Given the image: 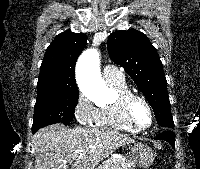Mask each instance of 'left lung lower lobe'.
Here are the masks:
<instances>
[{"label":"left lung lower lobe","instance_id":"1","mask_svg":"<svg viewBox=\"0 0 200 169\" xmlns=\"http://www.w3.org/2000/svg\"><path fill=\"white\" fill-rule=\"evenodd\" d=\"M171 128H168L166 132L158 136L156 139H161L168 141L173 147L175 146V137L174 133L170 131Z\"/></svg>","mask_w":200,"mask_h":169}]
</instances>
